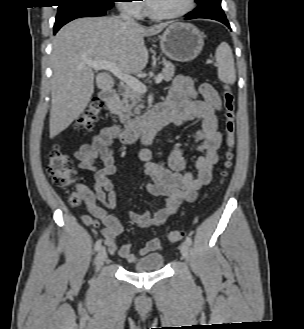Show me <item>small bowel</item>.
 Wrapping results in <instances>:
<instances>
[{"mask_svg":"<svg viewBox=\"0 0 304 329\" xmlns=\"http://www.w3.org/2000/svg\"><path fill=\"white\" fill-rule=\"evenodd\" d=\"M162 104L170 110L173 115L172 123L175 125L201 119V127L194 131L192 137L202 155L196 160V175L186 171L189 159L181 144L174 146L167 166L153 161L143 163L141 170L150 178L146 185L147 191L154 197H164L165 201L163 207L155 213L129 212L130 220L140 227L161 226L182 202L194 201L197 192L211 182L213 166L219 160L218 150L222 135L218 129L216 113L222 104L218 92L211 84L202 83L196 87L190 77L179 75ZM117 134L116 126L105 127L75 152L79 167L94 173L92 188L81 184L77 190L90 213L82 216V222L100 229L103 243L111 255H118L129 263H134L147 253L160 252L163 244L160 239L153 238L137 252L132 251L129 240L120 247L117 245V238L123 234L124 229L119 220L105 209L113 208L116 204V192L109 176L117 170L111 149ZM98 161L103 164L102 168L97 166Z\"/></svg>","mask_w":304,"mask_h":329,"instance_id":"obj_1","label":"small bowel"}]
</instances>
